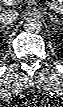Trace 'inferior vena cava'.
Instances as JSON below:
<instances>
[{
  "label": "inferior vena cava",
  "mask_w": 63,
  "mask_h": 107,
  "mask_svg": "<svg viewBox=\"0 0 63 107\" xmlns=\"http://www.w3.org/2000/svg\"><path fill=\"white\" fill-rule=\"evenodd\" d=\"M18 18V13L15 10L3 9L0 12V23L2 25H12Z\"/></svg>",
  "instance_id": "602c4592"
}]
</instances>
